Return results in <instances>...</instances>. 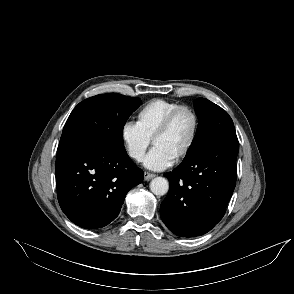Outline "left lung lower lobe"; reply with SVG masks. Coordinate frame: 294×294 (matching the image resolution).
I'll return each instance as SVG.
<instances>
[{"label":"left lung lower lobe","instance_id":"0a47b994","mask_svg":"<svg viewBox=\"0 0 294 294\" xmlns=\"http://www.w3.org/2000/svg\"><path fill=\"white\" fill-rule=\"evenodd\" d=\"M238 151L236 133L223 134L200 144L165 174L170 189L160 215L174 234L200 236L222 219L236 184Z\"/></svg>","mask_w":294,"mask_h":294}]
</instances>
